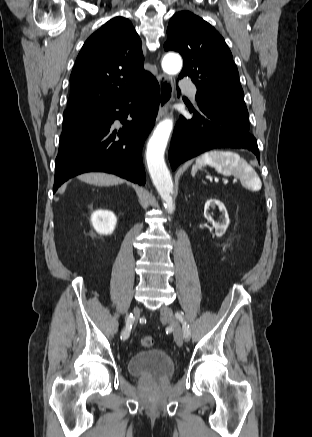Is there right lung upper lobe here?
Instances as JSON below:
<instances>
[{
    "mask_svg": "<svg viewBox=\"0 0 312 437\" xmlns=\"http://www.w3.org/2000/svg\"><path fill=\"white\" fill-rule=\"evenodd\" d=\"M141 40L128 19L115 17L84 43L70 75L68 111L100 110L150 75Z\"/></svg>",
    "mask_w": 312,
    "mask_h": 437,
    "instance_id": "right-lung-upper-lobe-1",
    "label": "right lung upper lobe"
}]
</instances>
